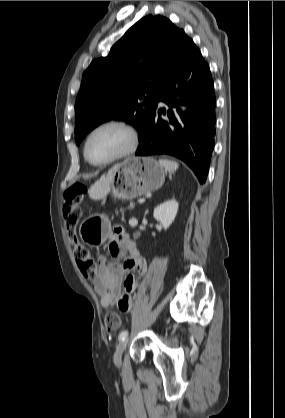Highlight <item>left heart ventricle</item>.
<instances>
[{
    "mask_svg": "<svg viewBox=\"0 0 285 418\" xmlns=\"http://www.w3.org/2000/svg\"><path fill=\"white\" fill-rule=\"evenodd\" d=\"M129 143L127 133L118 127H106L92 135L87 154L94 162L105 161L122 152Z\"/></svg>",
    "mask_w": 285,
    "mask_h": 418,
    "instance_id": "obj_1",
    "label": "left heart ventricle"
}]
</instances>
